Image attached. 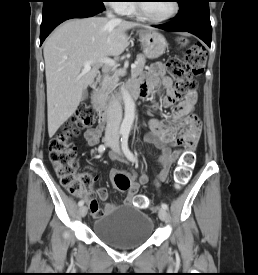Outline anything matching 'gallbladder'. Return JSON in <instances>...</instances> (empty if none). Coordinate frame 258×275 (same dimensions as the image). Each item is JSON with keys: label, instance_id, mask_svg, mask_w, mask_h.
I'll list each match as a JSON object with an SVG mask.
<instances>
[{"label": "gallbladder", "instance_id": "gallbladder-1", "mask_svg": "<svg viewBox=\"0 0 258 275\" xmlns=\"http://www.w3.org/2000/svg\"><path fill=\"white\" fill-rule=\"evenodd\" d=\"M87 97H88V92H87V90H85V91L83 92L82 99H83V100H84V99H87Z\"/></svg>", "mask_w": 258, "mask_h": 275}]
</instances>
